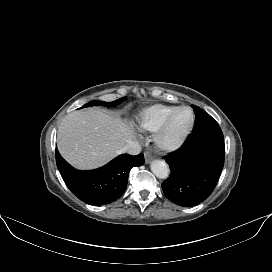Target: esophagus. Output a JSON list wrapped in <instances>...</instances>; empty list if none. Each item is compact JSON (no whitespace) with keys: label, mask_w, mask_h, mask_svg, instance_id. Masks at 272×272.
Returning <instances> with one entry per match:
<instances>
[{"label":"esophagus","mask_w":272,"mask_h":272,"mask_svg":"<svg viewBox=\"0 0 272 272\" xmlns=\"http://www.w3.org/2000/svg\"><path fill=\"white\" fill-rule=\"evenodd\" d=\"M144 155H145V162L146 163H149L152 160V158H153L152 154L150 152H148V151H146L144 153Z\"/></svg>","instance_id":"1"}]
</instances>
